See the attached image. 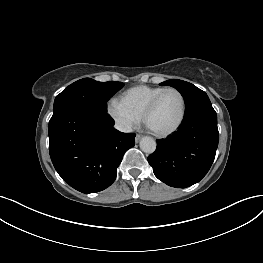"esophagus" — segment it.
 <instances>
[{"mask_svg":"<svg viewBox=\"0 0 263 263\" xmlns=\"http://www.w3.org/2000/svg\"><path fill=\"white\" fill-rule=\"evenodd\" d=\"M141 138H142V135L137 134L135 137V142L138 143Z\"/></svg>","mask_w":263,"mask_h":263,"instance_id":"34e87169","label":"esophagus"}]
</instances>
